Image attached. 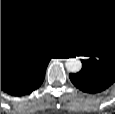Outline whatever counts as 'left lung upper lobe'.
<instances>
[{"label":"left lung upper lobe","instance_id":"obj_1","mask_svg":"<svg viewBox=\"0 0 115 114\" xmlns=\"http://www.w3.org/2000/svg\"><path fill=\"white\" fill-rule=\"evenodd\" d=\"M84 55L89 58L82 60L83 67L115 76V29L103 33Z\"/></svg>","mask_w":115,"mask_h":114}]
</instances>
